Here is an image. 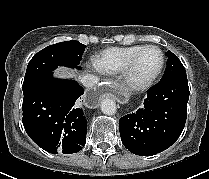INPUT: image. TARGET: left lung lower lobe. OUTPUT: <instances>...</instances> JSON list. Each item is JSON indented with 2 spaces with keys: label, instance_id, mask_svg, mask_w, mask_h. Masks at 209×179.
Here are the masks:
<instances>
[{
  "label": "left lung lower lobe",
  "instance_id": "obj_1",
  "mask_svg": "<svg viewBox=\"0 0 209 179\" xmlns=\"http://www.w3.org/2000/svg\"><path fill=\"white\" fill-rule=\"evenodd\" d=\"M188 99L186 75L160 81L151 87L144 107L119 120L124 146L140 156L155 155L169 148L185 126Z\"/></svg>",
  "mask_w": 209,
  "mask_h": 179
}]
</instances>
